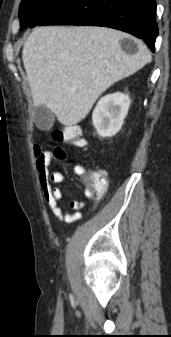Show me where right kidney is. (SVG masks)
Wrapping results in <instances>:
<instances>
[{
  "instance_id": "1",
  "label": "right kidney",
  "mask_w": 171,
  "mask_h": 337,
  "mask_svg": "<svg viewBox=\"0 0 171 337\" xmlns=\"http://www.w3.org/2000/svg\"><path fill=\"white\" fill-rule=\"evenodd\" d=\"M130 103L129 96L120 92L108 94L98 101L92 122L99 136L112 137L120 131Z\"/></svg>"
}]
</instances>
